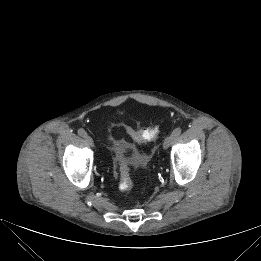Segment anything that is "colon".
Here are the masks:
<instances>
[{"label":"colon","mask_w":261,"mask_h":261,"mask_svg":"<svg viewBox=\"0 0 261 261\" xmlns=\"http://www.w3.org/2000/svg\"><path fill=\"white\" fill-rule=\"evenodd\" d=\"M125 131L127 135L137 142H145L153 139L158 129L154 125L134 129L131 126H126ZM114 174L118 180V188L122 192H130L133 188V181L131 178L130 167L126 158L124 157L121 148L116 153L114 161Z\"/></svg>","instance_id":"1"}]
</instances>
